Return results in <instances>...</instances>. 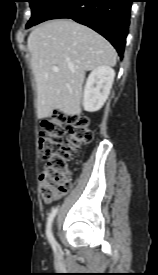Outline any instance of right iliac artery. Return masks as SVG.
<instances>
[{
  "label": "right iliac artery",
  "mask_w": 158,
  "mask_h": 275,
  "mask_svg": "<svg viewBox=\"0 0 158 275\" xmlns=\"http://www.w3.org/2000/svg\"><path fill=\"white\" fill-rule=\"evenodd\" d=\"M57 211H58V208L52 209L51 213L48 216L47 225H46V235H47L48 241L50 242L53 249H56L57 243L53 237V234L51 231V225H52V221H53Z\"/></svg>",
  "instance_id": "right-iliac-artery-1"
}]
</instances>
